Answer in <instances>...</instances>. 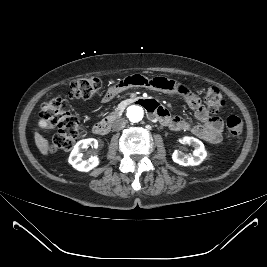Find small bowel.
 I'll return each mask as SVG.
<instances>
[{"instance_id": "small-bowel-1", "label": "small bowel", "mask_w": 267, "mask_h": 267, "mask_svg": "<svg viewBox=\"0 0 267 267\" xmlns=\"http://www.w3.org/2000/svg\"><path fill=\"white\" fill-rule=\"evenodd\" d=\"M132 87H148L177 95L194 111L199 123L191 124L180 116H171L166 109L160 106L157 107V117L159 120L172 130H188L197 137L212 144L221 142L224 129L222 119L212 116L202 104L199 96L182 82L163 77L149 79L141 75L128 76L108 88L103 102L109 103L117 94Z\"/></svg>"}]
</instances>
